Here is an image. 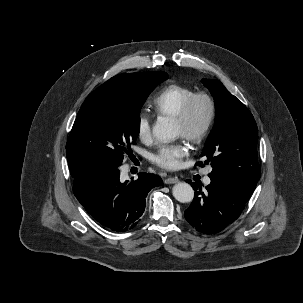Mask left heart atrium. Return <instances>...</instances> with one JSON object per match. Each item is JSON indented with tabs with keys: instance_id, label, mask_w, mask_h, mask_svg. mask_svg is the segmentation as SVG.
<instances>
[{
	"instance_id": "39dd6f15",
	"label": "left heart atrium",
	"mask_w": 303,
	"mask_h": 303,
	"mask_svg": "<svg viewBox=\"0 0 303 303\" xmlns=\"http://www.w3.org/2000/svg\"><path fill=\"white\" fill-rule=\"evenodd\" d=\"M187 147L183 143L162 145L152 155V161L164 169L173 170L180 166L181 159L187 155Z\"/></svg>"
}]
</instances>
